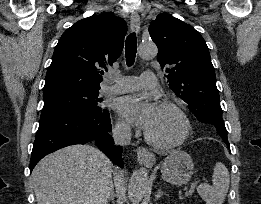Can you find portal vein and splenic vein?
I'll use <instances>...</instances> for the list:
<instances>
[{
  "label": "portal vein and splenic vein",
  "instance_id": "obj_1",
  "mask_svg": "<svg viewBox=\"0 0 261 204\" xmlns=\"http://www.w3.org/2000/svg\"><path fill=\"white\" fill-rule=\"evenodd\" d=\"M199 183V182H195V183H192L189 190H188V195L189 196H192L194 191H195V187H196V184Z\"/></svg>",
  "mask_w": 261,
  "mask_h": 204
}]
</instances>
